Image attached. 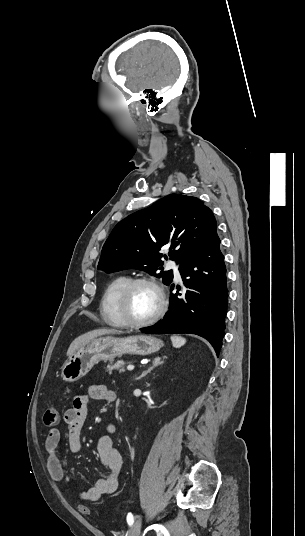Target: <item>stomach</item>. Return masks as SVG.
<instances>
[{
	"mask_svg": "<svg viewBox=\"0 0 305 536\" xmlns=\"http://www.w3.org/2000/svg\"><path fill=\"white\" fill-rule=\"evenodd\" d=\"M164 346L161 340L152 336H130V338H94L88 344L69 356L61 368V378L65 382H77L86 376L94 364L100 360H112L123 354L148 356Z\"/></svg>",
	"mask_w": 305,
	"mask_h": 536,
	"instance_id": "stomach-1",
	"label": "stomach"
}]
</instances>
